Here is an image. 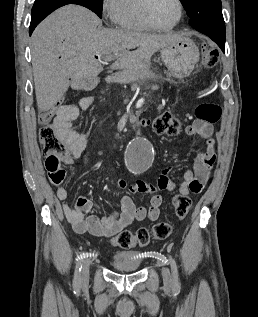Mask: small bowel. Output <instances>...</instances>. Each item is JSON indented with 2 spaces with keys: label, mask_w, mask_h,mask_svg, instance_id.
<instances>
[{
  "label": "small bowel",
  "mask_w": 258,
  "mask_h": 317,
  "mask_svg": "<svg viewBox=\"0 0 258 317\" xmlns=\"http://www.w3.org/2000/svg\"><path fill=\"white\" fill-rule=\"evenodd\" d=\"M93 102L91 97L80 99L78 104L60 105L54 116V126L59 135L70 149L74 158H79L83 154L87 145V135L73 128L72 122L79 116L80 112L86 110ZM141 126L150 125L149 120H142ZM211 124L202 120H195L186 127L187 136H200L206 140L205 148L199 150L194 158L193 168L183 174V182L178 191L182 195L190 193H200L208 182L211 169L216 162V153L214 150V140L212 138ZM71 159H63L58 156H49L45 165L48 171L50 182L55 186L56 195L59 200L64 201L68 197V191L64 185L67 173L64 169L65 163H70ZM170 168L164 169L157 184H150L144 181H138L132 186H127L122 179L116 180V185L120 189H128L131 192L150 194L151 199L148 207H137L133 199L129 196H123L120 202V209L114 211L109 216L98 217L93 210L97 207L85 196H80L74 205L63 203L62 208L66 219L73 230L79 234L89 233L93 236L111 237L117 235L123 229L134 222L148 219L156 221L160 215V206L162 196L160 191H174L176 184L169 179Z\"/></svg>",
  "instance_id": "1"
}]
</instances>
